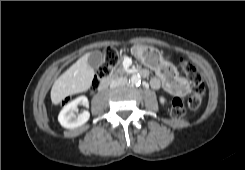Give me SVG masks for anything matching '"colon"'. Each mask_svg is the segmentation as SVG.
Masks as SVG:
<instances>
[{
  "label": "colon",
  "instance_id": "colon-1",
  "mask_svg": "<svg viewBox=\"0 0 245 170\" xmlns=\"http://www.w3.org/2000/svg\"><path fill=\"white\" fill-rule=\"evenodd\" d=\"M117 61V53L113 48H107L104 53V60L99 66L96 74V81L98 82L100 79L106 77L112 67L116 64ZM182 70L187 75L189 80L192 83V94L188 100V107L191 110H196L199 108L202 97L205 93V84L203 82L202 76L196 70L195 66L189 61H182L181 63ZM185 113V104L184 102L176 98L173 101V106L171 109V115L175 119H180L183 117Z\"/></svg>",
  "mask_w": 245,
  "mask_h": 170
}]
</instances>
